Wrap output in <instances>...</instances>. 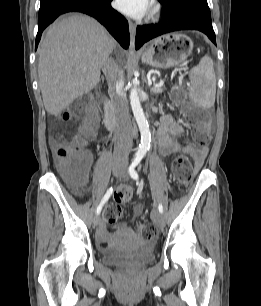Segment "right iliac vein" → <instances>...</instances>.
Here are the masks:
<instances>
[{
    "label": "right iliac vein",
    "instance_id": "63e3f726",
    "mask_svg": "<svg viewBox=\"0 0 261 306\" xmlns=\"http://www.w3.org/2000/svg\"><path fill=\"white\" fill-rule=\"evenodd\" d=\"M119 170H120L119 164H118V163H115V164L113 165V167H112V173H113V175H114V176H117ZM100 220H101L100 215H99V214H96V215L94 216V218H93V223H94V225H95V226L98 225V224L100 223Z\"/></svg>",
    "mask_w": 261,
    "mask_h": 306
}]
</instances>
